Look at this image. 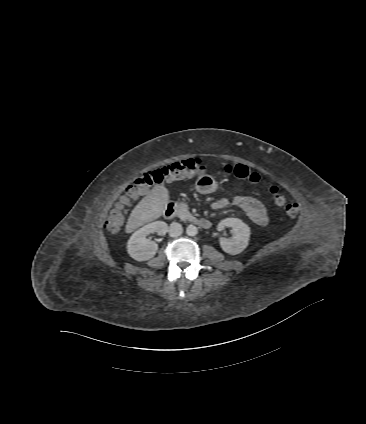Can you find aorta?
Segmentation results:
<instances>
[{"mask_svg": "<svg viewBox=\"0 0 366 424\" xmlns=\"http://www.w3.org/2000/svg\"><path fill=\"white\" fill-rule=\"evenodd\" d=\"M198 233V228L194 225H188L186 228V234L188 236H195Z\"/></svg>", "mask_w": 366, "mask_h": 424, "instance_id": "1", "label": "aorta"}]
</instances>
